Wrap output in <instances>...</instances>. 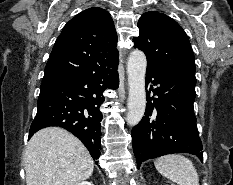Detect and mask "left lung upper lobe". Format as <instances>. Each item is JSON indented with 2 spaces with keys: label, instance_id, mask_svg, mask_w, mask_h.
<instances>
[{
  "label": "left lung upper lobe",
  "instance_id": "5c2ea615",
  "mask_svg": "<svg viewBox=\"0 0 233 185\" xmlns=\"http://www.w3.org/2000/svg\"><path fill=\"white\" fill-rule=\"evenodd\" d=\"M134 47L147 57V67L195 77L194 54L182 27L163 13H144L138 21Z\"/></svg>",
  "mask_w": 233,
  "mask_h": 185
}]
</instances>
